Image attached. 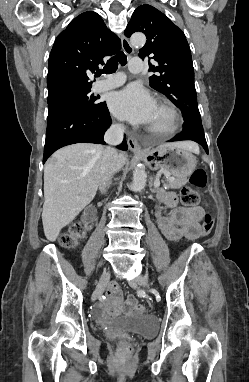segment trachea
<instances>
[{
    "instance_id": "obj_1",
    "label": "trachea",
    "mask_w": 249,
    "mask_h": 382,
    "mask_svg": "<svg viewBox=\"0 0 249 382\" xmlns=\"http://www.w3.org/2000/svg\"><path fill=\"white\" fill-rule=\"evenodd\" d=\"M118 63H120L122 66L127 63V57L122 51L118 52L115 56L111 57L107 61L103 70H99L97 72V75L100 76L103 73H106V74L114 73L117 70Z\"/></svg>"
}]
</instances>
